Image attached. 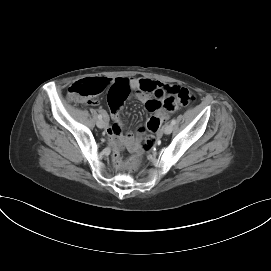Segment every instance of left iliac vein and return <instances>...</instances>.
Wrapping results in <instances>:
<instances>
[{
  "instance_id": "4c4485c4",
  "label": "left iliac vein",
  "mask_w": 271,
  "mask_h": 271,
  "mask_svg": "<svg viewBox=\"0 0 271 271\" xmlns=\"http://www.w3.org/2000/svg\"><path fill=\"white\" fill-rule=\"evenodd\" d=\"M173 130V125L171 124H167L164 128H163V132L165 134H170Z\"/></svg>"
}]
</instances>
